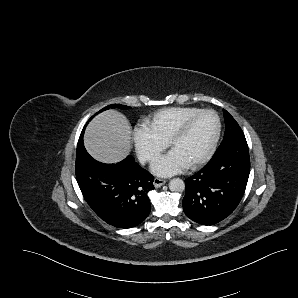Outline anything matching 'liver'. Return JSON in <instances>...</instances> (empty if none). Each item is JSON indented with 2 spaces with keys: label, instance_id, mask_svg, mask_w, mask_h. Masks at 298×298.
<instances>
[{
  "label": "liver",
  "instance_id": "6515ba94",
  "mask_svg": "<svg viewBox=\"0 0 298 298\" xmlns=\"http://www.w3.org/2000/svg\"><path fill=\"white\" fill-rule=\"evenodd\" d=\"M131 127L126 117L113 109L97 115L87 126L84 145L97 161L117 163L130 153Z\"/></svg>",
  "mask_w": 298,
  "mask_h": 298
}]
</instances>
